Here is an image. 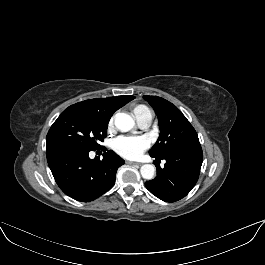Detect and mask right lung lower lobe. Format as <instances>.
<instances>
[{
  "mask_svg": "<svg viewBox=\"0 0 265 265\" xmlns=\"http://www.w3.org/2000/svg\"><path fill=\"white\" fill-rule=\"evenodd\" d=\"M89 152L72 148L46 151L48 165L60 189L82 202L92 201L111 189L117 169L124 164L111 150H105L102 160L90 159Z\"/></svg>",
  "mask_w": 265,
  "mask_h": 265,
  "instance_id": "obj_1",
  "label": "right lung lower lobe"
}]
</instances>
